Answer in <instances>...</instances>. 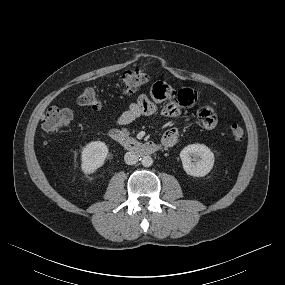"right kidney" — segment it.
<instances>
[{"mask_svg":"<svg viewBox=\"0 0 285 285\" xmlns=\"http://www.w3.org/2000/svg\"><path fill=\"white\" fill-rule=\"evenodd\" d=\"M108 154L107 145L101 141H93L85 146L81 154V170L85 174L94 173L103 166Z\"/></svg>","mask_w":285,"mask_h":285,"instance_id":"right-kidney-1","label":"right kidney"}]
</instances>
